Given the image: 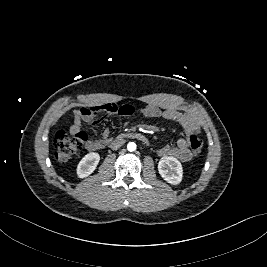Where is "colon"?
<instances>
[{"label":"colon","mask_w":267,"mask_h":267,"mask_svg":"<svg viewBox=\"0 0 267 267\" xmlns=\"http://www.w3.org/2000/svg\"><path fill=\"white\" fill-rule=\"evenodd\" d=\"M87 140L84 131L68 133L65 130L58 131L54 137L55 158L60 163H67L78 155ZM189 146L195 155H199L203 149V141L197 135H191L188 139Z\"/></svg>","instance_id":"obj_1"}]
</instances>
